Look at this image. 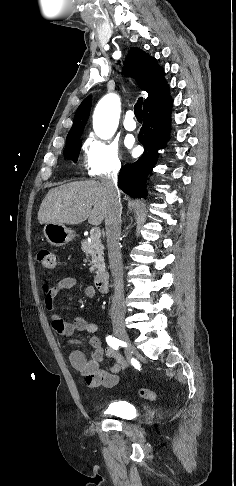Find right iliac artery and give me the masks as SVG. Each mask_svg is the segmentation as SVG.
<instances>
[{
  "label": "right iliac artery",
  "instance_id": "obj_1",
  "mask_svg": "<svg viewBox=\"0 0 236 486\" xmlns=\"http://www.w3.org/2000/svg\"><path fill=\"white\" fill-rule=\"evenodd\" d=\"M106 341L109 346H111L113 349L118 350L120 346V340L113 337V336H107Z\"/></svg>",
  "mask_w": 236,
  "mask_h": 486
}]
</instances>
